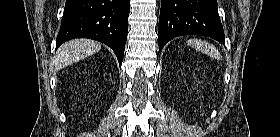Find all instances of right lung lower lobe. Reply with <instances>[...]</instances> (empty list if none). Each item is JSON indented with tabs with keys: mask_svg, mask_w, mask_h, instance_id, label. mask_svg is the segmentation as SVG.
<instances>
[{
	"mask_svg": "<svg viewBox=\"0 0 280 137\" xmlns=\"http://www.w3.org/2000/svg\"><path fill=\"white\" fill-rule=\"evenodd\" d=\"M130 0H66L56 48L74 38L107 44L121 66L128 31Z\"/></svg>",
	"mask_w": 280,
	"mask_h": 137,
	"instance_id": "obj_1",
	"label": "right lung lower lobe"
}]
</instances>
